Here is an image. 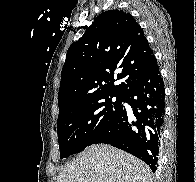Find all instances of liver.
Wrapping results in <instances>:
<instances>
[{"mask_svg": "<svg viewBox=\"0 0 196 182\" xmlns=\"http://www.w3.org/2000/svg\"><path fill=\"white\" fill-rule=\"evenodd\" d=\"M57 182H152L150 168L106 144L87 147L58 175Z\"/></svg>", "mask_w": 196, "mask_h": 182, "instance_id": "liver-1", "label": "liver"}]
</instances>
